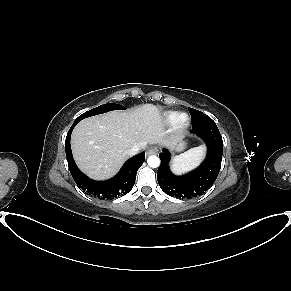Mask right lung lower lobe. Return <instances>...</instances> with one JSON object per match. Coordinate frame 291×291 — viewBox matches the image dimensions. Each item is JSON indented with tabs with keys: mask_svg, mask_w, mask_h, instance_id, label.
I'll return each instance as SVG.
<instances>
[{
	"mask_svg": "<svg viewBox=\"0 0 291 291\" xmlns=\"http://www.w3.org/2000/svg\"><path fill=\"white\" fill-rule=\"evenodd\" d=\"M77 122H74L67 133L65 141L66 157L70 173L75 180L77 186L85 191L87 194L97 197L99 199H114L128 193L136 180V173L145 160V153L142 152L129 160H127L119 173L107 181H94L83 174L74 162L70 137L71 132Z\"/></svg>",
	"mask_w": 291,
	"mask_h": 291,
	"instance_id": "right-lung-lower-lobe-1",
	"label": "right lung lower lobe"
}]
</instances>
